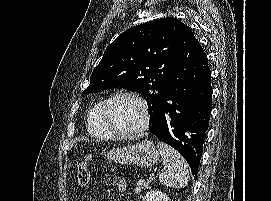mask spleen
<instances>
[{"label": "spleen", "mask_w": 271, "mask_h": 201, "mask_svg": "<svg viewBox=\"0 0 271 201\" xmlns=\"http://www.w3.org/2000/svg\"><path fill=\"white\" fill-rule=\"evenodd\" d=\"M157 148L166 169L159 175L161 184L172 188H185L189 180L188 164L181 154L166 143L158 142Z\"/></svg>", "instance_id": "spleen-1"}]
</instances>
